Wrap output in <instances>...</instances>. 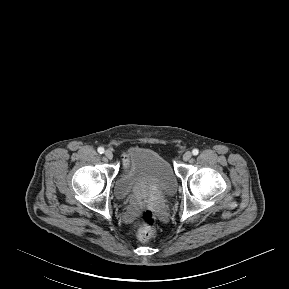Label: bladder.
Returning a JSON list of instances; mask_svg holds the SVG:
<instances>
[{"instance_id": "1", "label": "bladder", "mask_w": 289, "mask_h": 289, "mask_svg": "<svg viewBox=\"0 0 289 289\" xmlns=\"http://www.w3.org/2000/svg\"><path fill=\"white\" fill-rule=\"evenodd\" d=\"M176 187V176L169 162L151 149L136 147L127 155L115 181L114 194L124 201L142 196L165 198L173 195Z\"/></svg>"}]
</instances>
